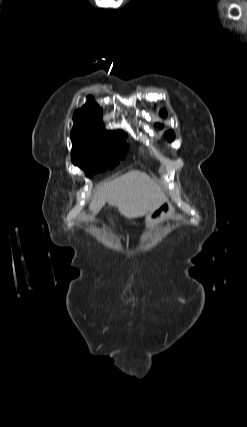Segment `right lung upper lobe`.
<instances>
[{
    "mask_svg": "<svg viewBox=\"0 0 247 427\" xmlns=\"http://www.w3.org/2000/svg\"><path fill=\"white\" fill-rule=\"evenodd\" d=\"M86 103L81 109L76 110L73 116L74 125L91 127V128H103L102 125V109L92 101Z\"/></svg>",
    "mask_w": 247,
    "mask_h": 427,
    "instance_id": "cb5924a9",
    "label": "right lung upper lobe"
}]
</instances>
